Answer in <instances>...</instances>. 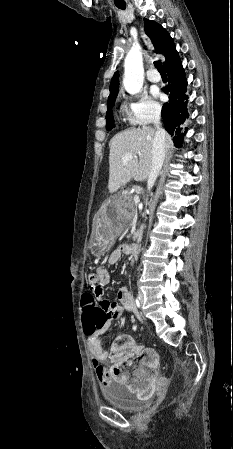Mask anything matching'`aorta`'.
Here are the masks:
<instances>
[{
	"instance_id": "aorta-1",
	"label": "aorta",
	"mask_w": 233,
	"mask_h": 449,
	"mask_svg": "<svg viewBox=\"0 0 233 449\" xmlns=\"http://www.w3.org/2000/svg\"><path fill=\"white\" fill-rule=\"evenodd\" d=\"M142 61L140 48H131L125 58L123 77V85L130 94L139 93L143 87L144 70Z\"/></svg>"
}]
</instances>
